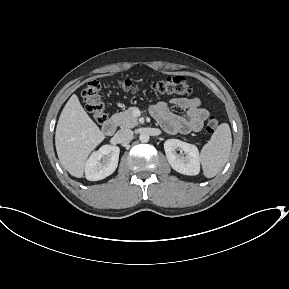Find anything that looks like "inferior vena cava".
Listing matches in <instances>:
<instances>
[{"instance_id":"602c4592","label":"inferior vena cava","mask_w":289,"mask_h":289,"mask_svg":"<svg viewBox=\"0 0 289 289\" xmlns=\"http://www.w3.org/2000/svg\"><path fill=\"white\" fill-rule=\"evenodd\" d=\"M133 138V131L130 129H121L116 133V139L119 143H127Z\"/></svg>"}]
</instances>
